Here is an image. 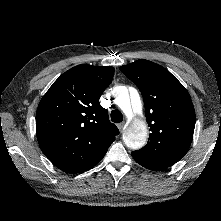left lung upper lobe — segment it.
<instances>
[{"mask_svg": "<svg viewBox=\"0 0 221 221\" xmlns=\"http://www.w3.org/2000/svg\"><path fill=\"white\" fill-rule=\"evenodd\" d=\"M120 70L139 88L150 127L148 143L132 153L168 167L188 151L195 127V111L187 90L164 67L137 60Z\"/></svg>", "mask_w": 221, "mask_h": 221, "instance_id": "1", "label": "left lung upper lobe"}]
</instances>
